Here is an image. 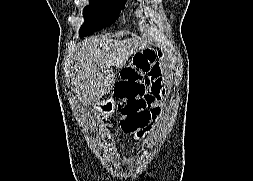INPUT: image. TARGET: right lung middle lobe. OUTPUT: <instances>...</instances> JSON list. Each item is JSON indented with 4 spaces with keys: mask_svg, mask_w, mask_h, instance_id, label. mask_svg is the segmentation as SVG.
Returning a JSON list of instances; mask_svg holds the SVG:
<instances>
[{
    "mask_svg": "<svg viewBox=\"0 0 253 181\" xmlns=\"http://www.w3.org/2000/svg\"><path fill=\"white\" fill-rule=\"evenodd\" d=\"M125 2L126 0H90V5L83 11L86 21L81 27L80 36L89 35L114 23Z\"/></svg>",
    "mask_w": 253,
    "mask_h": 181,
    "instance_id": "obj_1",
    "label": "right lung middle lobe"
}]
</instances>
